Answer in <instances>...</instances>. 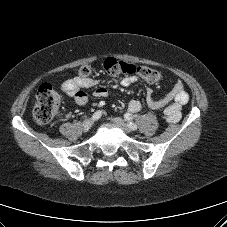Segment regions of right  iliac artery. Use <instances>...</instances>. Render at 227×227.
Returning <instances> with one entry per match:
<instances>
[{"mask_svg":"<svg viewBox=\"0 0 227 227\" xmlns=\"http://www.w3.org/2000/svg\"><path fill=\"white\" fill-rule=\"evenodd\" d=\"M101 116H102V111H101V110H98V111H96V112L92 115V120H93V121H96V120H98Z\"/></svg>","mask_w":227,"mask_h":227,"instance_id":"right-iliac-artery-1","label":"right iliac artery"}]
</instances>
